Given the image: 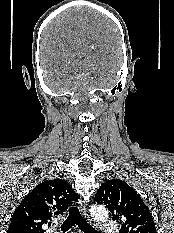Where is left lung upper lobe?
<instances>
[{
    "mask_svg": "<svg viewBox=\"0 0 174 233\" xmlns=\"http://www.w3.org/2000/svg\"><path fill=\"white\" fill-rule=\"evenodd\" d=\"M98 204H105L112 220L121 223L120 233H156L148 207L126 182L113 179L103 183L95 195Z\"/></svg>",
    "mask_w": 174,
    "mask_h": 233,
    "instance_id": "5c2ea615",
    "label": "left lung upper lobe"
}]
</instances>
